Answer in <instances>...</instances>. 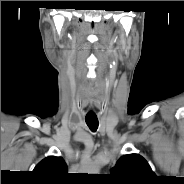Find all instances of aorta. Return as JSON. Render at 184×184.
Returning <instances> with one entry per match:
<instances>
[{
	"instance_id": "762f6f07",
	"label": "aorta",
	"mask_w": 184,
	"mask_h": 184,
	"mask_svg": "<svg viewBox=\"0 0 184 184\" xmlns=\"http://www.w3.org/2000/svg\"><path fill=\"white\" fill-rule=\"evenodd\" d=\"M97 172H99V167H97V166H92V167L89 169V173H90V174H96Z\"/></svg>"
}]
</instances>
